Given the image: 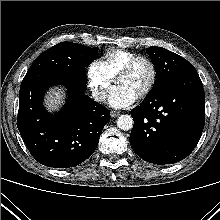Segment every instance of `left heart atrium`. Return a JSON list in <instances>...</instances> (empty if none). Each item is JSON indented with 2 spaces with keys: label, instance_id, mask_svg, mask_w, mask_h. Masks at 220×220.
<instances>
[{
  "label": "left heart atrium",
  "instance_id": "left-heart-atrium-1",
  "mask_svg": "<svg viewBox=\"0 0 220 220\" xmlns=\"http://www.w3.org/2000/svg\"><path fill=\"white\" fill-rule=\"evenodd\" d=\"M137 96L125 86L118 85L108 94V103L114 108H125L132 105Z\"/></svg>",
  "mask_w": 220,
  "mask_h": 220
}]
</instances>
